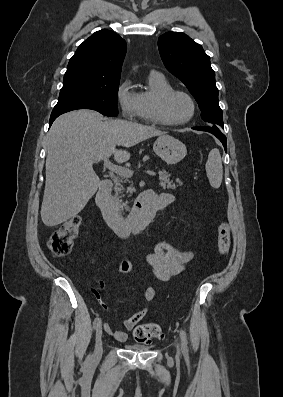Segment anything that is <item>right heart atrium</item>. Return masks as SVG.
Returning <instances> with one entry per match:
<instances>
[{"mask_svg":"<svg viewBox=\"0 0 283 397\" xmlns=\"http://www.w3.org/2000/svg\"><path fill=\"white\" fill-rule=\"evenodd\" d=\"M116 102L124 118L132 120L141 117L139 96L132 89L129 80H123L118 85Z\"/></svg>","mask_w":283,"mask_h":397,"instance_id":"1","label":"right heart atrium"}]
</instances>
